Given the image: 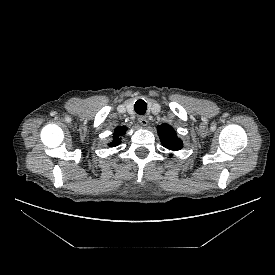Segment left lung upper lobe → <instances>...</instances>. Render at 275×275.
Returning a JSON list of instances; mask_svg holds the SVG:
<instances>
[{
    "label": "left lung upper lobe",
    "instance_id": "obj_1",
    "mask_svg": "<svg viewBox=\"0 0 275 275\" xmlns=\"http://www.w3.org/2000/svg\"><path fill=\"white\" fill-rule=\"evenodd\" d=\"M158 135L162 145L168 150L178 151L182 149L183 143L177 137L175 130L168 124H162L157 127Z\"/></svg>",
    "mask_w": 275,
    "mask_h": 275
}]
</instances>
